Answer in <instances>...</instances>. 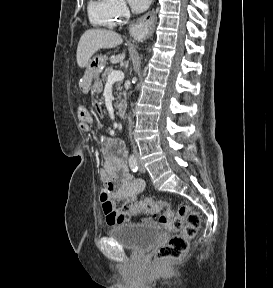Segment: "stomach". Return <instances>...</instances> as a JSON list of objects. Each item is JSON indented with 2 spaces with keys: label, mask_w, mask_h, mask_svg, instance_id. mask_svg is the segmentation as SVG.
Masks as SVG:
<instances>
[{
  "label": "stomach",
  "mask_w": 273,
  "mask_h": 288,
  "mask_svg": "<svg viewBox=\"0 0 273 288\" xmlns=\"http://www.w3.org/2000/svg\"><path fill=\"white\" fill-rule=\"evenodd\" d=\"M106 55H96L89 60L87 69L83 77L84 82L87 83V90H91L93 93L99 94L102 91V83L99 79V75L107 64Z\"/></svg>",
  "instance_id": "0dacf381"
}]
</instances>
